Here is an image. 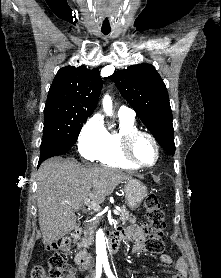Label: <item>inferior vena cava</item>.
Returning <instances> with one entry per match:
<instances>
[{
	"mask_svg": "<svg viewBox=\"0 0 221 278\" xmlns=\"http://www.w3.org/2000/svg\"><path fill=\"white\" fill-rule=\"evenodd\" d=\"M89 269H90V271H92V269H93V264L92 263L89 264Z\"/></svg>",
	"mask_w": 221,
	"mask_h": 278,
	"instance_id": "602c4592",
	"label": "inferior vena cava"
}]
</instances>
